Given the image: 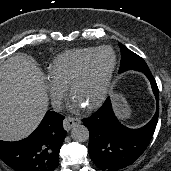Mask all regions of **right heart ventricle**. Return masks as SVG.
Returning a JSON list of instances; mask_svg holds the SVG:
<instances>
[{"label":"right heart ventricle","instance_id":"obj_1","mask_svg":"<svg viewBox=\"0 0 171 171\" xmlns=\"http://www.w3.org/2000/svg\"><path fill=\"white\" fill-rule=\"evenodd\" d=\"M95 49L80 48L59 54L51 63L49 77L55 82L68 87L76 71Z\"/></svg>","mask_w":171,"mask_h":171}]
</instances>
